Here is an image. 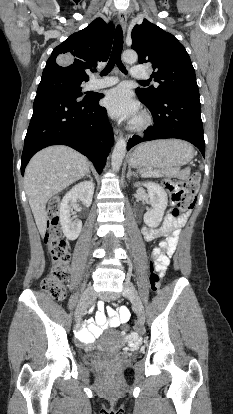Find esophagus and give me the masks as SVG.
Segmentation results:
<instances>
[{
	"label": "esophagus",
	"mask_w": 233,
	"mask_h": 414,
	"mask_svg": "<svg viewBox=\"0 0 233 414\" xmlns=\"http://www.w3.org/2000/svg\"><path fill=\"white\" fill-rule=\"evenodd\" d=\"M118 18H119V22L123 28V30L125 31L126 26H127V14L124 11H120L118 14ZM122 136L121 131L118 128H114V138L115 140L120 139Z\"/></svg>",
	"instance_id": "1"
}]
</instances>
